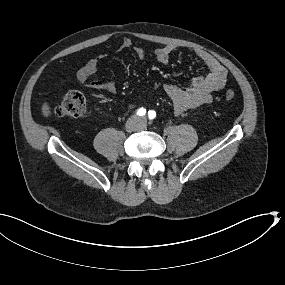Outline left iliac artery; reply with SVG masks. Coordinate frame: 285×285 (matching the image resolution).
<instances>
[{
  "label": "left iliac artery",
  "instance_id": "1",
  "mask_svg": "<svg viewBox=\"0 0 285 285\" xmlns=\"http://www.w3.org/2000/svg\"><path fill=\"white\" fill-rule=\"evenodd\" d=\"M148 117H149V119H154L156 117V112L153 110H150L148 112Z\"/></svg>",
  "mask_w": 285,
  "mask_h": 285
}]
</instances>
